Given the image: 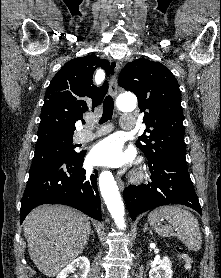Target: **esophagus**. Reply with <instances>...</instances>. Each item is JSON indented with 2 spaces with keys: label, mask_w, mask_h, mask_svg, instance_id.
Listing matches in <instances>:
<instances>
[{
  "label": "esophagus",
  "mask_w": 221,
  "mask_h": 278,
  "mask_svg": "<svg viewBox=\"0 0 221 278\" xmlns=\"http://www.w3.org/2000/svg\"><path fill=\"white\" fill-rule=\"evenodd\" d=\"M114 66V73L111 76V80H110V84H109V89H110V93L113 97L117 96V89H118V82H117V75L119 72V64L118 62H113L112 63ZM117 183L120 187L121 190L124 189V183L121 180V178L119 176L116 177Z\"/></svg>",
  "instance_id": "1"
}]
</instances>
